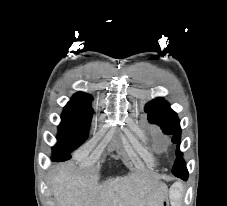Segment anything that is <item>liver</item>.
Wrapping results in <instances>:
<instances>
[{
    "instance_id": "6515ba94",
    "label": "liver",
    "mask_w": 227,
    "mask_h": 206,
    "mask_svg": "<svg viewBox=\"0 0 227 206\" xmlns=\"http://www.w3.org/2000/svg\"><path fill=\"white\" fill-rule=\"evenodd\" d=\"M71 165L62 166L51 177L58 206H162L166 184L155 177L128 175L102 184L96 177L73 175Z\"/></svg>"
}]
</instances>
